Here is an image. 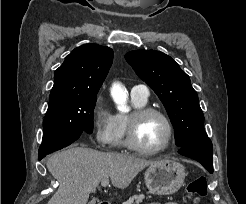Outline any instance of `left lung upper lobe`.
I'll return each instance as SVG.
<instances>
[{
	"mask_svg": "<svg viewBox=\"0 0 246 204\" xmlns=\"http://www.w3.org/2000/svg\"><path fill=\"white\" fill-rule=\"evenodd\" d=\"M125 59L164 104L175 129L177 146L208 138L198 95L189 76L170 56L155 50H134Z\"/></svg>",
	"mask_w": 246,
	"mask_h": 204,
	"instance_id": "5c2ea615",
	"label": "left lung upper lobe"
}]
</instances>
